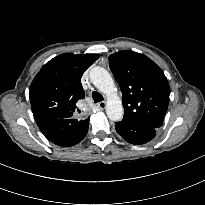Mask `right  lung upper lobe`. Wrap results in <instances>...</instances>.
Returning a JSON list of instances; mask_svg holds the SVG:
<instances>
[{"mask_svg": "<svg viewBox=\"0 0 205 205\" xmlns=\"http://www.w3.org/2000/svg\"><path fill=\"white\" fill-rule=\"evenodd\" d=\"M97 54L64 53L47 62L35 76L30 87V102L36 123L41 126L53 120H64L63 135L76 140L89 126V119H73V113L85 92L81 85L83 73L97 59Z\"/></svg>", "mask_w": 205, "mask_h": 205, "instance_id": "obj_1", "label": "right lung upper lobe"}]
</instances>
